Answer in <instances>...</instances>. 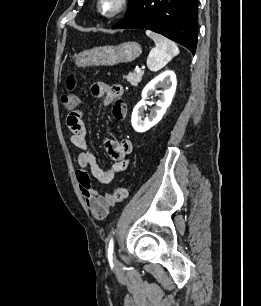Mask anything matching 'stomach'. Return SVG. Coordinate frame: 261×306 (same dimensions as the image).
Here are the masks:
<instances>
[{
  "label": "stomach",
  "mask_w": 261,
  "mask_h": 306,
  "mask_svg": "<svg viewBox=\"0 0 261 306\" xmlns=\"http://www.w3.org/2000/svg\"><path fill=\"white\" fill-rule=\"evenodd\" d=\"M142 53L137 42H125L117 46L96 47L76 55L75 63L79 67L113 66L118 63L131 62Z\"/></svg>",
  "instance_id": "stomach-1"
}]
</instances>
